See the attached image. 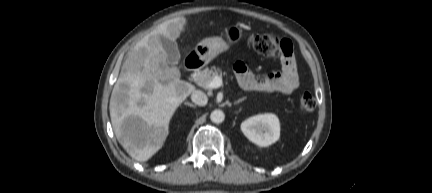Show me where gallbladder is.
I'll list each match as a JSON object with an SVG mask.
<instances>
[{
  "mask_svg": "<svg viewBox=\"0 0 432 193\" xmlns=\"http://www.w3.org/2000/svg\"><path fill=\"white\" fill-rule=\"evenodd\" d=\"M159 38L167 54V63L169 65H176L180 59V52L176 41L170 40L164 36H160Z\"/></svg>",
  "mask_w": 432,
  "mask_h": 193,
  "instance_id": "obj_1",
  "label": "gallbladder"
}]
</instances>
